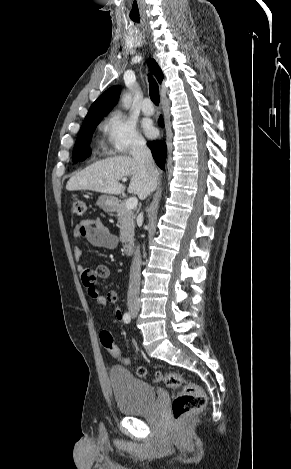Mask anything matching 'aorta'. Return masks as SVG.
I'll return each instance as SVG.
<instances>
[{"instance_id": "aorta-1", "label": "aorta", "mask_w": 291, "mask_h": 469, "mask_svg": "<svg viewBox=\"0 0 291 469\" xmlns=\"http://www.w3.org/2000/svg\"><path fill=\"white\" fill-rule=\"evenodd\" d=\"M132 97L130 93H125L122 97V105L125 109H129L131 106Z\"/></svg>"}]
</instances>
